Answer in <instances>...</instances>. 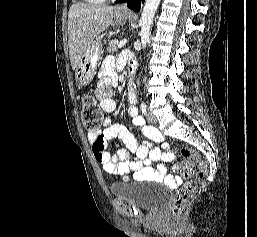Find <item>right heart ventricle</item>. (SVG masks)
I'll return each mask as SVG.
<instances>
[{
  "instance_id": "e07e8e85",
  "label": "right heart ventricle",
  "mask_w": 257,
  "mask_h": 237,
  "mask_svg": "<svg viewBox=\"0 0 257 237\" xmlns=\"http://www.w3.org/2000/svg\"><path fill=\"white\" fill-rule=\"evenodd\" d=\"M105 0H85L86 3L92 4V5H97L103 3Z\"/></svg>"
}]
</instances>
